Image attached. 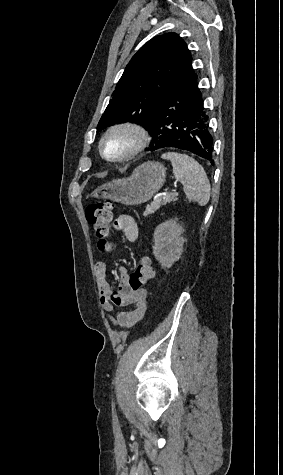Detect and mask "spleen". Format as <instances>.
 Wrapping results in <instances>:
<instances>
[{
    "instance_id": "spleen-1",
    "label": "spleen",
    "mask_w": 283,
    "mask_h": 475,
    "mask_svg": "<svg viewBox=\"0 0 283 475\" xmlns=\"http://www.w3.org/2000/svg\"><path fill=\"white\" fill-rule=\"evenodd\" d=\"M161 158L170 160L174 178L181 182L187 200L198 202L199 206H206L210 200L211 186L204 168L186 154L167 152L162 154Z\"/></svg>"
}]
</instances>
